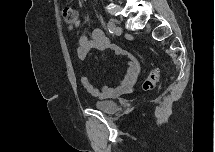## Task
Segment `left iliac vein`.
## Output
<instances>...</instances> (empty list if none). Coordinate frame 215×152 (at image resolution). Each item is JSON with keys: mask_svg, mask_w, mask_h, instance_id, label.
Masks as SVG:
<instances>
[{"mask_svg": "<svg viewBox=\"0 0 215 152\" xmlns=\"http://www.w3.org/2000/svg\"><path fill=\"white\" fill-rule=\"evenodd\" d=\"M113 32L116 36H120L122 34V28L120 26H114Z\"/></svg>", "mask_w": 215, "mask_h": 152, "instance_id": "1", "label": "left iliac vein"}]
</instances>
